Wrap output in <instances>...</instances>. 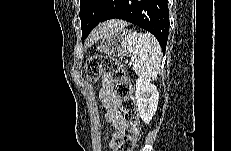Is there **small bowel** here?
<instances>
[{
	"mask_svg": "<svg viewBox=\"0 0 231 151\" xmlns=\"http://www.w3.org/2000/svg\"><path fill=\"white\" fill-rule=\"evenodd\" d=\"M100 99L105 107V119L113 129L109 145L114 148L120 138L127 133L128 124L121 113L120 99L114 94L113 81L110 76L102 78Z\"/></svg>",
	"mask_w": 231,
	"mask_h": 151,
	"instance_id": "small-bowel-1",
	"label": "small bowel"
}]
</instances>
